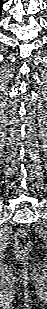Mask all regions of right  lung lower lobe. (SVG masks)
<instances>
[{
	"label": "right lung lower lobe",
	"mask_w": 47,
	"mask_h": 309,
	"mask_svg": "<svg viewBox=\"0 0 47 309\" xmlns=\"http://www.w3.org/2000/svg\"><path fill=\"white\" fill-rule=\"evenodd\" d=\"M2 5H3V2L2 0H0V13H1Z\"/></svg>",
	"instance_id": "1"
}]
</instances>
